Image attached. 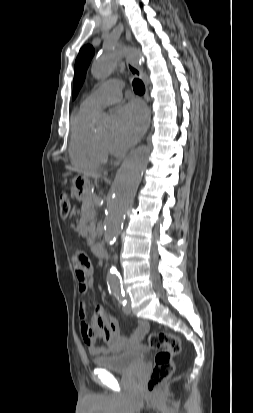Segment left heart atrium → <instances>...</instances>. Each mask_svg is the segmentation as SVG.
I'll return each instance as SVG.
<instances>
[{
  "mask_svg": "<svg viewBox=\"0 0 253 413\" xmlns=\"http://www.w3.org/2000/svg\"><path fill=\"white\" fill-rule=\"evenodd\" d=\"M146 127V113L138 103H130L119 109L116 115L115 141L122 147L135 143Z\"/></svg>",
  "mask_w": 253,
  "mask_h": 413,
  "instance_id": "39dd6f15",
  "label": "left heart atrium"
}]
</instances>
